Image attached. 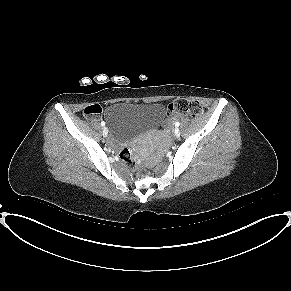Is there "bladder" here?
Masks as SVG:
<instances>
[{
  "label": "bladder",
  "instance_id": "31cf9c89",
  "mask_svg": "<svg viewBox=\"0 0 291 291\" xmlns=\"http://www.w3.org/2000/svg\"><path fill=\"white\" fill-rule=\"evenodd\" d=\"M165 116V107L159 103L115 102L104 113L111 136L122 143L158 127Z\"/></svg>",
  "mask_w": 291,
  "mask_h": 291
}]
</instances>
